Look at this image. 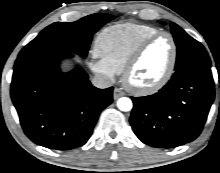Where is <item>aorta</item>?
<instances>
[{"label":"aorta","mask_w":220,"mask_h":173,"mask_svg":"<svg viewBox=\"0 0 220 173\" xmlns=\"http://www.w3.org/2000/svg\"><path fill=\"white\" fill-rule=\"evenodd\" d=\"M132 106H133L132 101L127 97H122L117 101V107L121 111L124 112L130 111L132 109Z\"/></svg>","instance_id":"762f6f07"}]
</instances>
